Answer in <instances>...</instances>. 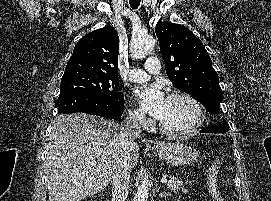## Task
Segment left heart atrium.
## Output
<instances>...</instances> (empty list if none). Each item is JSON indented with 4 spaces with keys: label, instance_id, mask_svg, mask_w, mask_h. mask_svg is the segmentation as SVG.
<instances>
[{
    "label": "left heart atrium",
    "instance_id": "1",
    "mask_svg": "<svg viewBox=\"0 0 271 201\" xmlns=\"http://www.w3.org/2000/svg\"><path fill=\"white\" fill-rule=\"evenodd\" d=\"M134 96L141 108L157 120L166 112L168 98L159 85H141L134 90Z\"/></svg>",
    "mask_w": 271,
    "mask_h": 201
}]
</instances>
